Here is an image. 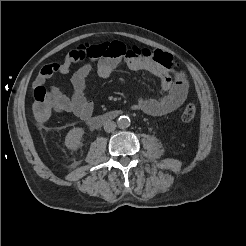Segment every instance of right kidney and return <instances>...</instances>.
Segmentation results:
<instances>
[{
    "label": "right kidney",
    "instance_id": "1",
    "mask_svg": "<svg viewBox=\"0 0 246 246\" xmlns=\"http://www.w3.org/2000/svg\"><path fill=\"white\" fill-rule=\"evenodd\" d=\"M84 134L82 128H73L71 129L65 137V146L73 151H76L81 147V139Z\"/></svg>",
    "mask_w": 246,
    "mask_h": 246
}]
</instances>
